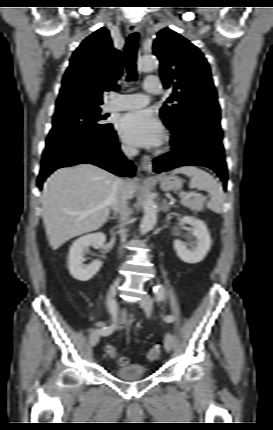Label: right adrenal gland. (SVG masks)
I'll return each mask as SVG.
<instances>
[{
    "label": "right adrenal gland",
    "instance_id": "2a0ac1e0",
    "mask_svg": "<svg viewBox=\"0 0 273 430\" xmlns=\"http://www.w3.org/2000/svg\"><path fill=\"white\" fill-rule=\"evenodd\" d=\"M109 220H115L116 219V215H114L113 217H108Z\"/></svg>",
    "mask_w": 273,
    "mask_h": 430
}]
</instances>
